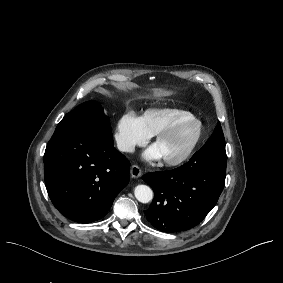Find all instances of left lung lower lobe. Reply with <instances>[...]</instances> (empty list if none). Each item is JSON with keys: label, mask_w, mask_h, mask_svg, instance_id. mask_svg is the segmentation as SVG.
Here are the masks:
<instances>
[{"label": "left lung lower lobe", "mask_w": 283, "mask_h": 283, "mask_svg": "<svg viewBox=\"0 0 283 283\" xmlns=\"http://www.w3.org/2000/svg\"><path fill=\"white\" fill-rule=\"evenodd\" d=\"M225 145L205 143L183 166L147 173L143 180L154 190L147 220L156 229L174 233L199 224L212 210L224 188Z\"/></svg>", "instance_id": "1"}]
</instances>
